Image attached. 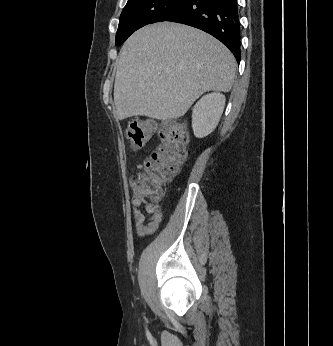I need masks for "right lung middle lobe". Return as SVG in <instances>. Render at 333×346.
I'll return each mask as SVG.
<instances>
[{
	"label": "right lung middle lobe",
	"instance_id": "obj_1",
	"mask_svg": "<svg viewBox=\"0 0 333 346\" xmlns=\"http://www.w3.org/2000/svg\"><path fill=\"white\" fill-rule=\"evenodd\" d=\"M184 0H128L116 33L121 45L134 31L151 23L164 21Z\"/></svg>",
	"mask_w": 333,
	"mask_h": 346
}]
</instances>
